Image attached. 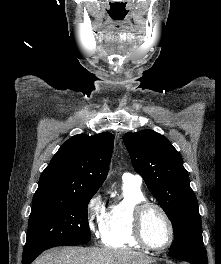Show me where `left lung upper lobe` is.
Returning a JSON list of instances; mask_svg holds the SVG:
<instances>
[{"instance_id": "obj_1", "label": "left lung upper lobe", "mask_w": 221, "mask_h": 264, "mask_svg": "<svg viewBox=\"0 0 221 264\" xmlns=\"http://www.w3.org/2000/svg\"><path fill=\"white\" fill-rule=\"evenodd\" d=\"M123 141L135 171L172 222L170 251L203 247L198 203L180 153L166 137L152 130L126 133Z\"/></svg>"}]
</instances>
